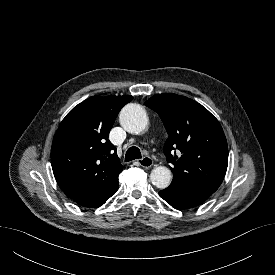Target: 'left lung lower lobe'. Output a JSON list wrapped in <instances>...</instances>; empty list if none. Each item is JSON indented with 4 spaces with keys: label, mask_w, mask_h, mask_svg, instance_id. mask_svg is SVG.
<instances>
[{
    "label": "left lung lower lobe",
    "mask_w": 275,
    "mask_h": 275,
    "mask_svg": "<svg viewBox=\"0 0 275 275\" xmlns=\"http://www.w3.org/2000/svg\"><path fill=\"white\" fill-rule=\"evenodd\" d=\"M213 192L208 189L184 183H171L159 192L161 198L178 210L189 209L203 203Z\"/></svg>",
    "instance_id": "obj_1"
}]
</instances>
